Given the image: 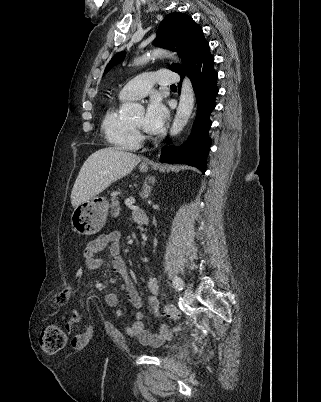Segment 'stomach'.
I'll use <instances>...</instances> for the list:
<instances>
[{
	"label": "stomach",
	"mask_w": 321,
	"mask_h": 402,
	"mask_svg": "<svg viewBox=\"0 0 321 402\" xmlns=\"http://www.w3.org/2000/svg\"><path fill=\"white\" fill-rule=\"evenodd\" d=\"M141 172L148 170L147 165H140ZM108 203L98 197H92L81 205L75 207L72 216L71 224L79 234L93 235L99 232L104 226L107 218Z\"/></svg>",
	"instance_id": "0dacf381"
}]
</instances>
